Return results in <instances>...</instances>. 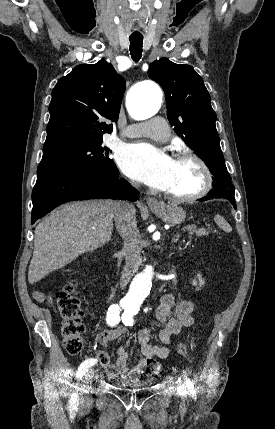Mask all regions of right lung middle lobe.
<instances>
[{
    "label": "right lung middle lobe",
    "instance_id": "obj_1",
    "mask_svg": "<svg viewBox=\"0 0 275 429\" xmlns=\"http://www.w3.org/2000/svg\"><path fill=\"white\" fill-rule=\"evenodd\" d=\"M103 140L89 144H71L48 154H43L37 169L39 183L47 178L70 172L118 171L109 151L102 147Z\"/></svg>",
    "mask_w": 275,
    "mask_h": 429
}]
</instances>
